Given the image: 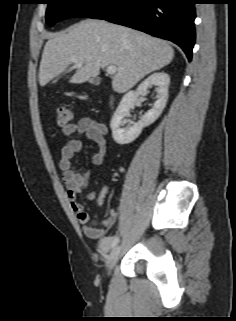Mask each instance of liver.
I'll list each match as a JSON object with an SVG mask.
<instances>
[{
    "mask_svg": "<svg viewBox=\"0 0 236 321\" xmlns=\"http://www.w3.org/2000/svg\"><path fill=\"white\" fill-rule=\"evenodd\" d=\"M174 49L168 42L104 20L86 19L50 35L44 46L39 68V84L64 73L74 64L70 83L80 84L95 78L100 68L114 65L112 88L124 93L147 74L168 65ZM82 63L76 67V63Z\"/></svg>",
    "mask_w": 236,
    "mask_h": 321,
    "instance_id": "1",
    "label": "liver"
}]
</instances>
